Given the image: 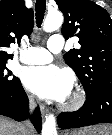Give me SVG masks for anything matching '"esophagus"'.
Instances as JSON below:
<instances>
[{
  "label": "esophagus",
  "mask_w": 112,
  "mask_h": 135,
  "mask_svg": "<svg viewBox=\"0 0 112 135\" xmlns=\"http://www.w3.org/2000/svg\"><path fill=\"white\" fill-rule=\"evenodd\" d=\"M40 110H41V113L44 115V114H46L47 113V109H46V107L44 106V105H40Z\"/></svg>",
  "instance_id": "34e87169"
}]
</instances>
